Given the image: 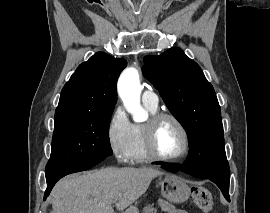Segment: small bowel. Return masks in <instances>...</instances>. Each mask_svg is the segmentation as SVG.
Listing matches in <instances>:
<instances>
[{
	"mask_svg": "<svg viewBox=\"0 0 270 213\" xmlns=\"http://www.w3.org/2000/svg\"><path fill=\"white\" fill-rule=\"evenodd\" d=\"M160 206L165 213H188L185 210L173 207L171 204L167 202L161 203Z\"/></svg>",
	"mask_w": 270,
	"mask_h": 213,
	"instance_id": "small-bowel-1",
	"label": "small bowel"
}]
</instances>
